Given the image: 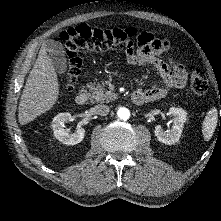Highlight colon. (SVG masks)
<instances>
[{
    "label": "colon",
    "mask_w": 221,
    "mask_h": 221,
    "mask_svg": "<svg viewBox=\"0 0 221 221\" xmlns=\"http://www.w3.org/2000/svg\"><path fill=\"white\" fill-rule=\"evenodd\" d=\"M136 36L133 28L100 29L88 25H79L70 28L61 34L65 52L68 58L66 88L74 89L81 68L78 53L81 51H105L116 47H127ZM191 89L197 95H204L208 91V79L201 69L192 72L190 80Z\"/></svg>",
    "instance_id": "1"
}]
</instances>
